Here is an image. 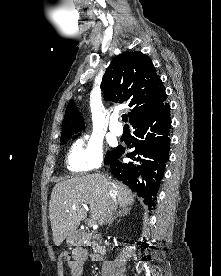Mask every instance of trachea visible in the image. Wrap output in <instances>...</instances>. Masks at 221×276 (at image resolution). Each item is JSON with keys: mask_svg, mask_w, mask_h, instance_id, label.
<instances>
[{"mask_svg": "<svg viewBox=\"0 0 221 276\" xmlns=\"http://www.w3.org/2000/svg\"><path fill=\"white\" fill-rule=\"evenodd\" d=\"M122 120H123L124 122H127V120H128L127 114H123V115H122Z\"/></svg>", "mask_w": 221, "mask_h": 276, "instance_id": "3493384b", "label": "trachea"}]
</instances>
